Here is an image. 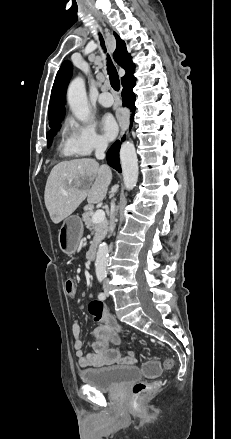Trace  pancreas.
Instances as JSON below:
<instances>
[{"label": "pancreas", "mask_w": 231, "mask_h": 439, "mask_svg": "<svg viewBox=\"0 0 231 439\" xmlns=\"http://www.w3.org/2000/svg\"><path fill=\"white\" fill-rule=\"evenodd\" d=\"M94 214V211L90 208H87L82 214V220L85 223L86 228L94 233L91 248L96 247L97 244L106 236L108 231V221L106 219L98 224L92 222V217Z\"/></svg>", "instance_id": "pancreas-1"}]
</instances>
